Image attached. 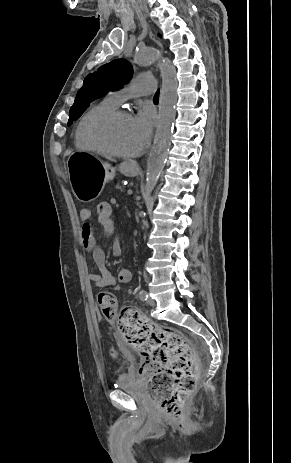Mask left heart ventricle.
I'll list each match as a JSON object with an SVG mask.
<instances>
[{"instance_id":"left-heart-ventricle-1","label":"left heart ventricle","mask_w":291,"mask_h":463,"mask_svg":"<svg viewBox=\"0 0 291 463\" xmlns=\"http://www.w3.org/2000/svg\"><path fill=\"white\" fill-rule=\"evenodd\" d=\"M100 134L122 152H134L142 146L130 116L115 120L100 130Z\"/></svg>"}]
</instances>
